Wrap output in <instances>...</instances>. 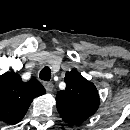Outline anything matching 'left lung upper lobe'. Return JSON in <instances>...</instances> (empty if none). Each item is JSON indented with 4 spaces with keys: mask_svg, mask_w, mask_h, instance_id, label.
<instances>
[{
    "mask_svg": "<svg viewBox=\"0 0 130 130\" xmlns=\"http://www.w3.org/2000/svg\"><path fill=\"white\" fill-rule=\"evenodd\" d=\"M65 90L57 92V110L63 120L69 124H79L99 107V95L95 85L86 80L78 71L66 73Z\"/></svg>",
    "mask_w": 130,
    "mask_h": 130,
    "instance_id": "obj_1",
    "label": "left lung upper lobe"
}]
</instances>
